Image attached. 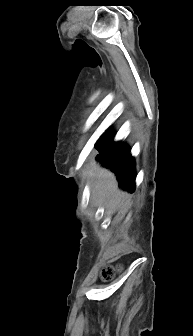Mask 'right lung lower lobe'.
I'll return each mask as SVG.
<instances>
[{
  "label": "right lung lower lobe",
  "mask_w": 193,
  "mask_h": 336,
  "mask_svg": "<svg viewBox=\"0 0 193 336\" xmlns=\"http://www.w3.org/2000/svg\"><path fill=\"white\" fill-rule=\"evenodd\" d=\"M95 147L101 153L102 164L117 174L119 185L133 192L135 189V162L130 155L129 147L120 142L114 143L112 132H106L95 144Z\"/></svg>",
  "instance_id": "obj_1"
}]
</instances>
